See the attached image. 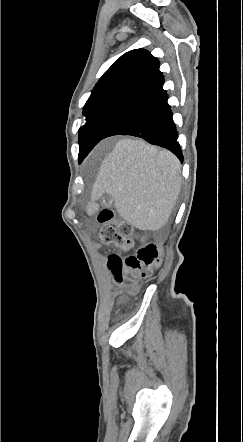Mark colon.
Masks as SVG:
<instances>
[{"mask_svg":"<svg viewBox=\"0 0 243 442\" xmlns=\"http://www.w3.org/2000/svg\"><path fill=\"white\" fill-rule=\"evenodd\" d=\"M98 221L101 224L97 233L103 244L113 245L121 251L133 248L134 231L131 224L124 220L113 221V212L103 210ZM162 249L152 242L143 241L136 254L121 260L119 256L112 255L108 259L109 269L115 283L124 287L126 294H135L138 281L150 275L152 267L162 259Z\"/></svg>","mask_w":243,"mask_h":442,"instance_id":"1","label":"colon"}]
</instances>
